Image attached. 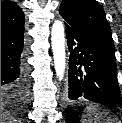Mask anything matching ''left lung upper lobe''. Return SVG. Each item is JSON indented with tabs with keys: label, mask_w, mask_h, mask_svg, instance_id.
<instances>
[{
	"label": "left lung upper lobe",
	"mask_w": 122,
	"mask_h": 123,
	"mask_svg": "<svg viewBox=\"0 0 122 123\" xmlns=\"http://www.w3.org/2000/svg\"><path fill=\"white\" fill-rule=\"evenodd\" d=\"M59 12L65 24L114 49L109 23L97 1L63 0Z\"/></svg>",
	"instance_id": "obj_1"
}]
</instances>
